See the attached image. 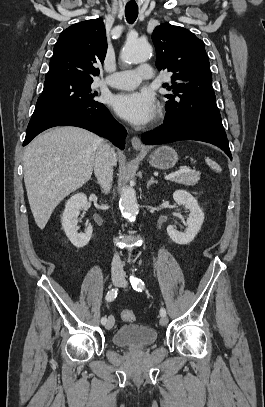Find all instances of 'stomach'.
I'll list each match as a JSON object with an SVG mask.
<instances>
[{
    "label": "stomach",
    "instance_id": "1",
    "mask_svg": "<svg viewBox=\"0 0 265 407\" xmlns=\"http://www.w3.org/2000/svg\"><path fill=\"white\" fill-rule=\"evenodd\" d=\"M178 161L176 151L169 146H161L149 155V163L152 167L166 170L172 168Z\"/></svg>",
    "mask_w": 265,
    "mask_h": 407
}]
</instances>
